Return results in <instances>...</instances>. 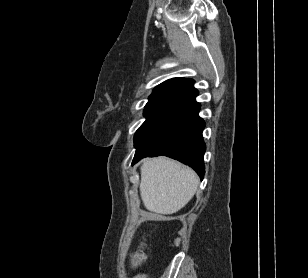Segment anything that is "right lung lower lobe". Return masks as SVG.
<instances>
[{
  "label": "right lung lower lobe",
  "instance_id": "1",
  "mask_svg": "<svg viewBox=\"0 0 308 278\" xmlns=\"http://www.w3.org/2000/svg\"><path fill=\"white\" fill-rule=\"evenodd\" d=\"M199 110L198 104L137 147L132 164L144 157L165 155L188 164L203 179L206 145L202 131L205 123L198 115Z\"/></svg>",
  "mask_w": 308,
  "mask_h": 278
}]
</instances>
